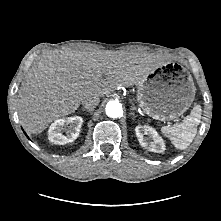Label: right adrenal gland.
I'll return each mask as SVG.
<instances>
[{
    "label": "right adrenal gland",
    "mask_w": 221,
    "mask_h": 221,
    "mask_svg": "<svg viewBox=\"0 0 221 221\" xmlns=\"http://www.w3.org/2000/svg\"><path fill=\"white\" fill-rule=\"evenodd\" d=\"M82 111L92 112L93 110L82 108Z\"/></svg>",
    "instance_id": "obj_1"
}]
</instances>
